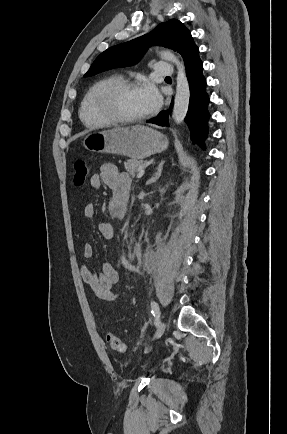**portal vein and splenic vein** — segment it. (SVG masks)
Wrapping results in <instances>:
<instances>
[{"label": "portal vein and splenic vein", "mask_w": 287, "mask_h": 434, "mask_svg": "<svg viewBox=\"0 0 287 434\" xmlns=\"http://www.w3.org/2000/svg\"><path fill=\"white\" fill-rule=\"evenodd\" d=\"M144 173H145V167L140 168L138 170L137 178H139V179L142 178V176L144 175Z\"/></svg>", "instance_id": "obj_1"}]
</instances>
